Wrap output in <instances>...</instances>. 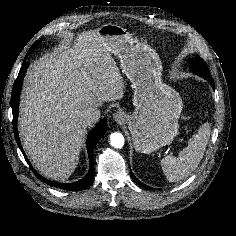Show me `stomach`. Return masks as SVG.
I'll return each mask as SVG.
<instances>
[{"label": "stomach", "instance_id": "1", "mask_svg": "<svg viewBox=\"0 0 236 236\" xmlns=\"http://www.w3.org/2000/svg\"><path fill=\"white\" fill-rule=\"evenodd\" d=\"M98 32L109 53L119 58L134 89L135 110L126 118L135 150L151 153L170 144L178 133L183 102L177 91L162 82L159 55L119 25L104 24Z\"/></svg>", "mask_w": 236, "mask_h": 236}]
</instances>
